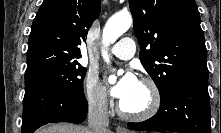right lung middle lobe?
Listing matches in <instances>:
<instances>
[{"instance_id":"1","label":"right lung middle lobe","mask_w":221,"mask_h":133,"mask_svg":"<svg viewBox=\"0 0 221 133\" xmlns=\"http://www.w3.org/2000/svg\"><path fill=\"white\" fill-rule=\"evenodd\" d=\"M85 74L86 69L78 62H75L42 68L29 75H25V81L34 79L61 88L72 94H83Z\"/></svg>"}]
</instances>
